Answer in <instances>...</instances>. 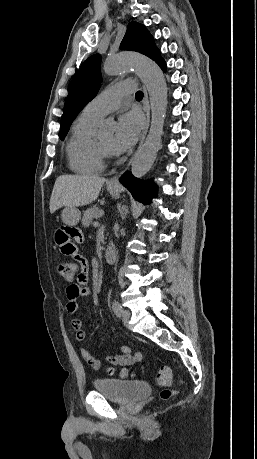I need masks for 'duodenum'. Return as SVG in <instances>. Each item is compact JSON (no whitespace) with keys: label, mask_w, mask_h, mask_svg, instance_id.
I'll list each match as a JSON object with an SVG mask.
<instances>
[{"label":"duodenum","mask_w":257,"mask_h":459,"mask_svg":"<svg viewBox=\"0 0 257 459\" xmlns=\"http://www.w3.org/2000/svg\"><path fill=\"white\" fill-rule=\"evenodd\" d=\"M117 251L113 244H110L104 251V260L108 264H113L116 261Z\"/></svg>","instance_id":"obj_1"}]
</instances>
